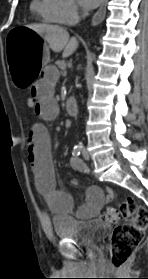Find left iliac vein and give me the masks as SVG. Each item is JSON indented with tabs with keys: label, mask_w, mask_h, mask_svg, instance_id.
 <instances>
[{
	"label": "left iliac vein",
	"mask_w": 148,
	"mask_h": 279,
	"mask_svg": "<svg viewBox=\"0 0 148 279\" xmlns=\"http://www.w3.org/2000/svg\"><path fill=\"white\" fill-rule=\"evenodd\" d=\"M82 155H83L84 159L90 160V155L86 149L82 150Z\"/></svg>",
	"instance_id": "4c4485c4"
}]
</instances>
